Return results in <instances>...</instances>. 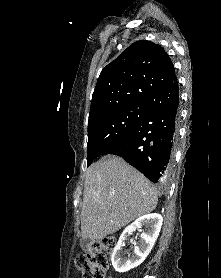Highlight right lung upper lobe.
Segmentation results:
<instances>
[{
    "mask_svg": "<svg viewBox=\"0 0 221 278\" xmlns=\"http://www.w3.org/2000/svg\"><path fill=\"white\" fill-rule=\"evenodd\" d=\"M176 80L174 65L164 49L150 41H137L100 73L89 120L132 102L146 101Z\"/></svg>",
    "mask_w": 221,
    "mask_h": 278,
    "instance_id": "cb5924a9",
    "label": "right lung upper lobe"
}]
</instances>
